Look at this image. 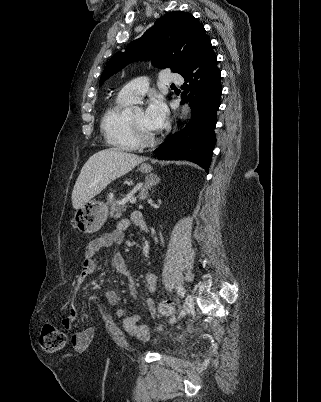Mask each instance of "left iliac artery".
Here are the masks:
<instances>
[{"label":"left iliac artery","mask_w":321,"mask_h":402,"mask_svg":"<svg viewBox=\"0 0 321 402\" xmlns=\"http://www.w3.org/2000/svg\"><path fill=\"white\" fill-rule=\"evenodd\" d=\"M177 292H178V294H179L180 296L184 297V295H185V290H184V287H183V286L179 285V286L177 287Z\"/></svg>","instance_id":"obj_1"}]
</instances>
